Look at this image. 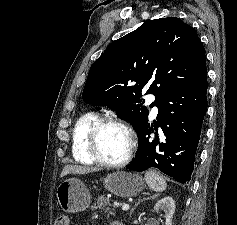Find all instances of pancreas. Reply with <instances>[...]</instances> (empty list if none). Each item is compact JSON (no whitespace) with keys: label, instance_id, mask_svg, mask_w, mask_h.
<instances>
[{"label":"pancreas","instance_id":"pancreas-1","mask_svg":"<svg viewBox=\"0 0 237 225\" xmlns=\"http://www.w3.org/2000/svg\"><path fill=\"white\" fill-rule=\"evenodd\" d=\"M95 201L96 202H94L93 205L91 206L92 209L106 207L110 204L109 198L104 195L98 196ZM105 211L109 212L110 214H113V212L110 210L109 207H106Z\"/></svg>","mask_w":237,"mask_h":225}]
</instances>
